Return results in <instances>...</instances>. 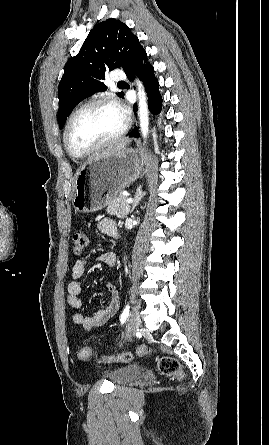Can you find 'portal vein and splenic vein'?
Returning <instances> with one entry per match:
<instances>
[{
	"label": "portal vein and splenic vein",
	"mask_w": 269,
	"mask_h": 445,
	"mask_svg": "<svg viewBox=\"0 0 269 445\" xmlns=\"http://www.w3.org/2000/svg\"><path fill=\"white\" fill-rule=\"evenodd\" d=\"M133 199L132 198H127V200H126V202L128 203V204H131V203H133Z\"/></svg>",
	"instance_id": "obj_1"
}]
</instances>
